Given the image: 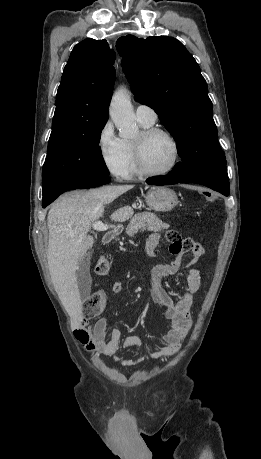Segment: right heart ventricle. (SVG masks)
I'll list each match as a JSON object with an SVG mask.
<instances>
[{
	"mask_svg": "<svg viewBox=\"0 0 261 459\" xmlns=\"http://www.w3.org/2000/svg\"><path fill=\"white\" fill-rule=\"evenodd\" d=\"M139 123L143 128H148L153 125V124H147V123L140 122V121ZM122 143H123V148L127 156V160H128V167L123 177L132 178L133 176L138 174V171L135 165V160H134L133 142L130 140L122 139Z\"/></svg>",
	"mask_w": 261,
	"mask_h": 459,
	"instance_id": "obj_1",
	"label": "right heart ventricle"
}]
</instances>
